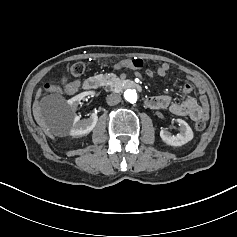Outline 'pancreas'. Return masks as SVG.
Listing matches in <instances>:
<instances>
[{"label":"pancreas","mask_w":237,"mask_h":237,"mask_svg":"<svg viewBox=\"0 0 237 237\" xmlns=\"http://www.w3.org/2000/svg\"><path fill=\"white\" fill-rule=\"evenodd\" d=\"M102 85L104 87H109L110 89H114L121 85V80L114 73L104 74L102 78Z\"/></svg>","instance_id":"pancreas-1"}]
</instances>
